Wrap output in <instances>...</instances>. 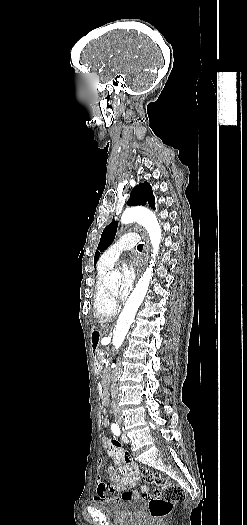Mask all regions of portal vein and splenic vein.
<instances>
[{
  "label": "portal vein and splenic vein",
  "instance_id": "obj_1",
  "mask_svg": "<svg viewBox=\"0 0 247 525\" xmlns=\"http://www.w3.org/2000/svg\"><path fill=\"white\" fill-rule=\"evenodd\" d=\"M100 356H104V353H100ZM103 364H106V358H103Z\"/></svg>",
  "mask_w": 247,
  "mask_h": 525
}]
</instances>
